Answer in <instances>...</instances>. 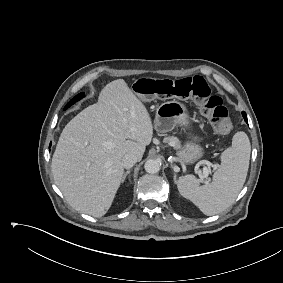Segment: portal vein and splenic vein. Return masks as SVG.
<instances>
[{"label":"portal vein and splenic vein","instance_id":"1","mask_svg":"<svg viewBox=\"0 0 283 283\" xmlns=\"http://www.w3.org/2000/svg\"><path fill=\"white\" fill-rule=\"evenodd\" d=\"M205 164H210L209 162H206ZM208 175H209V170H208V168H206V167H204L203 168V172L201 173V177L202 178H207L208 177Z\"/></svg>","mask_w":283,"mask_h":283}]
</instances>
